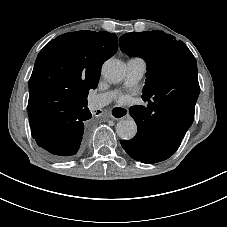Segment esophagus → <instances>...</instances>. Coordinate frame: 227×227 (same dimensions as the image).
I'll return each instance as SVG.
<instances>
[{"label": "esophagus", "mask_w": 227, "mask_h": 227, "mask_svg": "<svg viewBox=\"0 0 227 227\" xmlns=\"http://www.w3.org/2000/svg\"><path fill=\"white\" fill-rule=\"evenodd\" d=\"M110 115L111 116H121L119 118L113 117L115 119H122L124 118L123 115H131V110H123L122 107H114L113 109L110 110Z\"/></svg>", "instance_id": "obj_1"}]
</instances>
